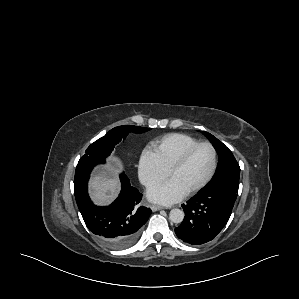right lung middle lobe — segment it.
<instances>
[{
  "instance_id": "right-lung-middle-lobe-1",
  "label": "right lung middle lobe",
  "mask_w": 299,
  "mask_h": 299,
  "mask_svg": "<svg viewBox=\"0 0 299 299\" xmlns=\"http://www.w3.org/2000/svg\"><path fill=\"white\" fill-rule=\"evenodd\" d=\"M147 130L149 129L132 125L115 127L107 132L105 136L91 144L86 150L85 155L80 158L79 162L105 160V158L113 151L115 145L124 139L129 132L143 133Z\"/></svg>"
}]
</instances>
